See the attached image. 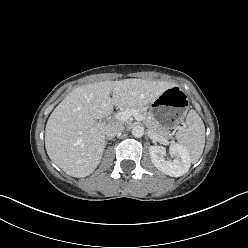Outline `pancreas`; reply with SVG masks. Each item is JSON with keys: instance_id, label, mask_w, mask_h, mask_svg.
Here are the masks:
<instances>
[{"instance_id": "pancreas-1", "label": "pancreas", "mask_w": 248, "mask_h": 248, "mask_svg": "<svg viewBox=\"0 0 248 248\" xmlns=\"http://www.w3.org/2000/svg\"><path fill=\"white\" fill-rule=\"evenodd\" d=\"M133 109H136L139 112V114L142 116V122L161 139H168L171 137L170 131L159 125L155 120H153L148 115L145 109L139 107Z\"/></svg>"}]
</instances>
